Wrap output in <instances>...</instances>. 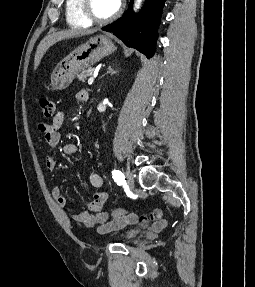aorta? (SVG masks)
<instances>
[{
    "mask_svg": "<svg viewBox=\"0 0 255 287\" xmlns=\"http://www.w3.org/2000/svg\"><path fill=\"white\" fill-rule=\"evenodd\" d=\"M141 1H142V0H136V8L139 7Z\"/></svg>",
    "mask_w": 255,
    "mask_h": 287,
    "instance_id": "aorta-1",
    "label": "aorta"
}]
</instances>
